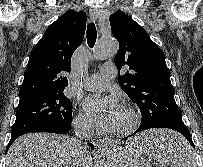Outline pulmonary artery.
Returning <instances> with one entry per match:
<instances>
[{
  "label": "pulmonary artery",
  "mask_w": 203,
  "mask_h": 167,
  "mask_svg": "<svg viewBox=\"0 0 203 167\" xmlns=\"http://www.w3.org/2000/svg\"><path fill=\"white\" fill-rule=\"evenodd\" d=\"M117 70L113 64H105L101 72L89 76L85 82L84 87L89 90L104 89L108 82L116 76Z\"/></svg>",
  "instance_id": "pulmonary-artery-1"
}]
</instances>
